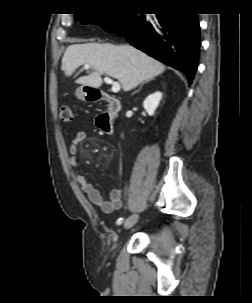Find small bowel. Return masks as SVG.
<instances>
[{"instance_id":"obj_1","label":"small bowel","mask_w":252,"mask_h":303,"mask_svg":"<svg viewBox=\"0 0 252 303\" xmlns=\"http://www.w3.org/2000/svg\"><path fill=\"white\" fill-rule=\"evenodd\" d=\"M97 126L101 128L99 122H97ZM88 135L84 131H79L76 133L73 138L70 146H69V165L71 171L74 173L75 180L80 186L81 190L87 195L89 202L95 206L100 208L105 213H111L120 208L122 204V189L115 188L110 192V200L104 201L100 191L96 189L91 182L87 180V178L80 173L79 163L76 159V155L78 153L79 145L86 141Z\"/></svg>"}]
</instances>
